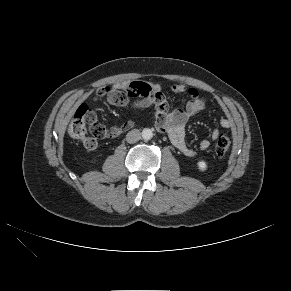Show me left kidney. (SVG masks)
<instances>
[{
    "label": "left kidney",
    "instance_id": "1",
    "mask_svg": "<svg viewBox=\"0 0 291 291\" xmlns=\"http://www.w3.org/2000/svg\"><path fill=\"white\" fill-rule=\"evenodd\" d=\"M197 165L200 171H205L207 169V164L203 160H200Z\"/></svg>",
    "mask_w": 291,
    "mask_h": 291
}]
</instances>
